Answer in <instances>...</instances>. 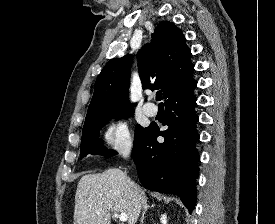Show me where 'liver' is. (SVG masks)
Here are the masks:
<instances>
[{"instance_id": "obj_1", "label": "liver", "mask_w": 275, "mask_h": 224, "mask_svg": "<svg viewBox=\"0 0 275 224\" xmlns=\"http://www.w3.org/2000/svg\"><path fill=\"white\" fill-rule=\"evenodd\" d=\"M147 203L145 191L120 169L87 174L78 182L74 224H111V213L127 215L135 224Z\"/></svg>"}]
</instances>
